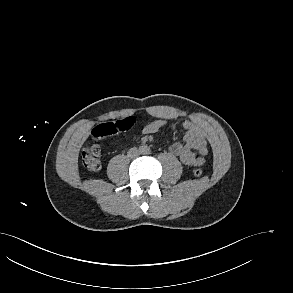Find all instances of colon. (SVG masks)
Listing matches in <instances>:
<instances>
[{
	"label": "colon",
	"instance_id": "obj_1",
	"mask_svg": "<svg viewBox=\"0 0 293 293\" xmlns=\"http://www.w3.org/2000/svg\"><path fill=\"white\" fill-rule=\"evenodd\" d=\"M134 126L132 118H125L114 123L100 124L94 128L92 132L93 139L85 145L82 151V161L84 166L90 171H98L100 169V148L98 141L103 138L112 137L119 133L130 130ZM193 175L199 177L203 171L200 168H194Z\"/></svg>",
	"mask_w": 293,
	"mask_h": 293
}]
</instances>
